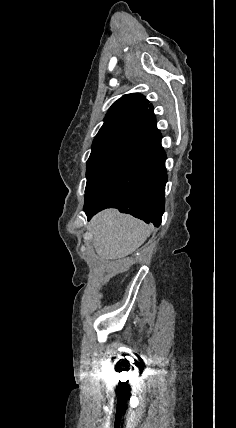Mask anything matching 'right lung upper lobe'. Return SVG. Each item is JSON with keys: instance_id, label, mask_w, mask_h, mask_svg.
I'll return each instance as SVG.
<instances>
[{"instance_id": "1", "label": "right lung upper lobe", "mask_w": 236, "mask_h": 428, "mask_svg": "<svg viewBox=\"0 0 236 428\" xmlns=\"http://www.w3.org/2000/svg\"><path fill=\"white\" fill-rule=\"evenodd\" d=\"M158 131L149 101L139 93L126 94L110 107L91 154L128 143H144Z\"/></svg>"}]
</instances>
